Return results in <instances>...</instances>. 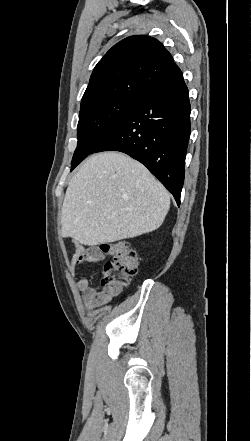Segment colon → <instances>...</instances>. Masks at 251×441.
Listing matches in <instances>:
<instances>
[{
    "instance_id": "5ec220e1",
    "label": "colon",
    "mask_w": 251,
    "mask_h": 441,
    "mask_svg": "<svg viewBox=\"0 0 251 441\" xmlns=\"http://www.w3.org/2000/svg\"><path fill=\"white\" fill-rule=\"evenodd\" d=\"M100 250L112 257L105 263L101 283L114 289H122L136 275L138 269L137 252L126 241L104 243Z\"/></svg>"
}]
</instances>
